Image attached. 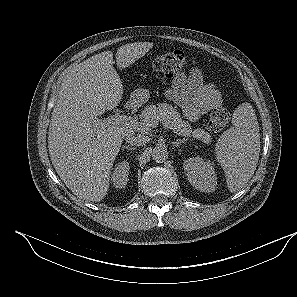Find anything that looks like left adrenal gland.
<instances>
[{
	"label": "left adrenal gland",
	"instance_id": "1",
	"mask_svg": "<svg viewBox=\"0 0 297 297\" xmlns=\"http://www.w3.org/2000/svg\"><path fill=\"white\" fill-rule=\"evenodd\" d=\"M186 140L184 139V140H177V141H175V142H172V144H173V146L174 147H180V145L182 144V143H184Z\"/></svg>",
	"mask_w": 297,
	"mask_h": 297
}]
</instances>
